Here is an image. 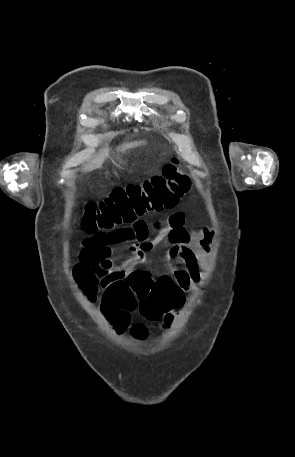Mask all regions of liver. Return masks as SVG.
Listing matches in <instances>:
<instances>
[{
    "instance_id": "liver-1",
    "label": "liver",
    "mask_w": 295,
    "mask_h": 457,
    "mask_svg": "<svg viewBox=\"0 0 295 457\" xmlns=\"http://www.w3.org/2000/svg\"><path fill=\"white\" fill-rule=\"evenodd\" d=\"M145 144V141H135L130 143H123L117 147V152H125L126 150L137 147L139 145ZM110 148L108 146L103 147L98 151V153L93 157V159L85 166L84 171L90 172L95 169H98L102 166L103 162L109 156Z\"/></svg>"
}]
</instances>
